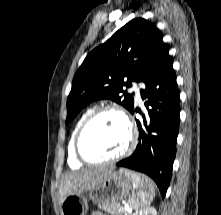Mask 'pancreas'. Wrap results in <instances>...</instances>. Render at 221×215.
Listing matches in <instances>:
<instances>
[{
  "instance_id": "pancreas-1",
  "label": "pancreas",
  "mask_w": 221,
  "mask_h": 215,
  "mask_svg": "<svg viewBox=\"0 0 221 215\" xmlns=\"http://www.w3.org/2000/svg\"><path fill=\"white\" fill-rule=\"evenodd\" d=\"M99 207L112 215H121L123 212L127 215L125 209L118 202L101 204Z\"/></svg>"
}]
</instances>
